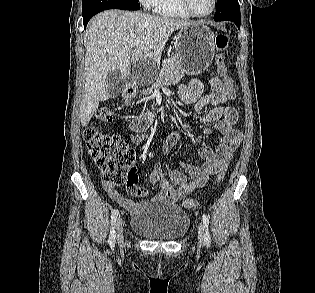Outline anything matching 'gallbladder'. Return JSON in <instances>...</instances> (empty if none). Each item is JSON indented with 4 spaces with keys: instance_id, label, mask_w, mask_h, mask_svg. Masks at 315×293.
<instances>
[{
    "instance_id": "gallbladder-1",
    "label": "gallbladder",
    "mask_w": 315,
    "mask_h": 293,
    "mask_svg": "<svg viewBox=\"0 0 315 293\" xmlns=\"http://www.w3.org/2000/svg\"><path fill=\"white\" fill-rule=\"evenodd\" d=\"M107 81L109 83V92L111 97H116L121 93L122 83L124 82L123 73L119 69L108 72Z\"/></svg>"
}]
</instances>
